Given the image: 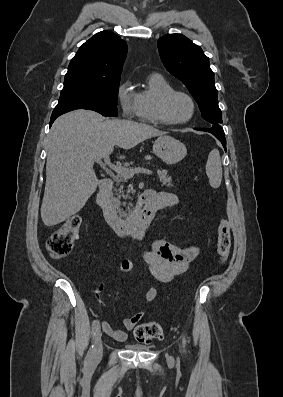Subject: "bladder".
<instances>
[{"instance_id":"obj_1","label":"bladder","mask_w":283,"mask_h":397,"mask_svg":"<svg viewBox=\"0 0 283 397\" xmlns=\"http://www.w3.org/2000/svg\"><path fill=\"white\" fill-rule=\"evenodd\" d=\"M128 348L136 351H146L149 350L151 346L142 345V344H133V345H129Z\"/></svg>"}]
</instances>
